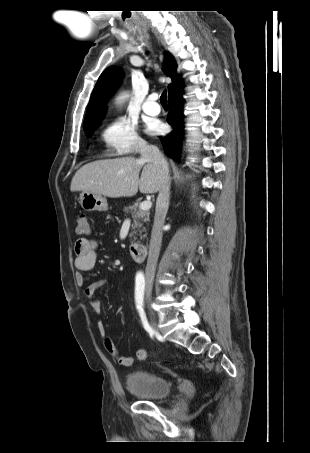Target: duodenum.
I'll use <instances>...</instances> for the list:
<instances>
[{"instance_id": "duodenum-1", "label": "duodenum", "mask_w": 310, "mask_h": 453, "mask_svg": "<svg viewBox=\"0 0 310 453\" xmlns=\"http://www.w3.org/2000/svg\"><path fill=\"white\" fill-rule=\"evenodd\" d=\"M130 253L132 258L137 262H143L148 254V249L146 245L141 243H133L130 246Z\"/></svg>"}]
</instances>
